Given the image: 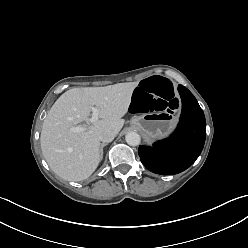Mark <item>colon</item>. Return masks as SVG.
I'll return each mask as SVG.
<instances>
[{
    "label": "colon",
    "mask_w": 248,
    "mask_h": 248,
    "mask_svg": "<svg viewBox=\"0 0 248 248\" xmlns=\"http://www.w3.org/2000/svg\"><path fill=\"white\" fill-rule=\"evenodd\" d=\"M178 105L173 87L164 78L156 76L136 87L128 108L133 113L165 112L175 110Z\"/></svg>",
    "instance_id": "5ec220e1"
}]
</instances>
